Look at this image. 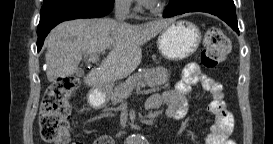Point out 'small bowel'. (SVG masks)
Listing matches in <instances>:
<instances>
[{
    "instance_id": "obj_1",
    "label": "small bowel",
    "mask_w": 273,
    "mask_h": 144,
    "mask_svg": "<svg viewBox=\"0 0 273 144\" xmlns=\"http://www.w3.org/2000/svg\"><path fill=\"white\" fill-rule=\"evenodd\" d=\"M193 85H200L211 96L208 110L215 116V122L210 128L205 144H229V135L233 128V117L227 111L224 101L223 86L214 78L204 74L200 68L191 64L181 73V79L176 84L174 90L160 96L166 104V116L173 120H181L187 114L188 96ZM159 95L151 96L146 104L147 111H156L160 104L156 98ZM94 144H113L110 136H99Z\"/></svg>"
}]
</instances>
